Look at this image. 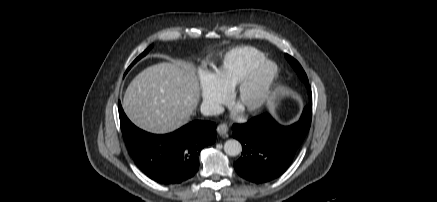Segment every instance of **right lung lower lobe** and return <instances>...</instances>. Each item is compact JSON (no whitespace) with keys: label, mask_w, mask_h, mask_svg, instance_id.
I'll list each match as a JSON object with an SVG mask.
<instances>
[{"label":"right lung lower lobe","mask_w":437,"mask_h":202,"mask_svg":"<svg viewBox=\"0 0 437 202\" xmlns=\"http://www.w3.org/2000/svg\"><path fill=\"white\" fill-rule=\"evenodd\" d=\"M121 131L126 146L139 169L161 184H179L199 169L201 150L216 140V124L193 121L180 129L156 135L137 128L119 104Z\"/></svg>","instance_id":"1"}]
</instances>
